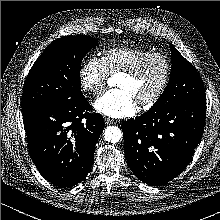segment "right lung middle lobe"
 <instances>
[{
    "mask_svg": "<svg viewBox=\"0 0 220 220\" xmlns=\"http://www.w3.org/2000/svg\"><path fill=\"white\" fill-rule=\"evenodd\" d=\"M97 45L86 36L54 40L30 69L22 94V108L41 104H72L83 96L80 68L84 56Z\"/></svg>",
    "mask_w": 220,
    "mask_h": 220,
    "instance_id": "1",
    "label": "right lung middle lobe"
}]
</instances>
